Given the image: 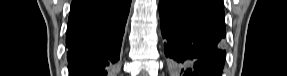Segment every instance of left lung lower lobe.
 <instances>
[{
  "label": "left lung lower lobe",
  "mask_w": 287,
  "mask_h": 76,
  "mask_svg": "<svg viewBox=\"0 0 287 76\" xmlns=\"http://www.w3.org/2000/svg\"><path fill=\"white\" fill-rule=\"evenodd\" d=\"M164 53L185 76H221L226 36L222 0H159Z\"/></svg>",
  "instance_id": "obj_1"
}]
</instances>
